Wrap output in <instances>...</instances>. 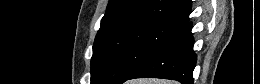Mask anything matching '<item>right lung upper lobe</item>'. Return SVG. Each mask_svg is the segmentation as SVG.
<instances>
[{
	"label": "right lung upper lobe",
	"instance_id": "obj_1",
	"mask_svg": "<svg viewBox=\"0 0 260 84\" xmlns=\"http://www.w3.org/2000/svg\"><path fill=\"white\" fill-rule=\"evenodd\" d=\"M190 0H110L96 40L136 24L180 27L189 20Z\"/></svg>",
	"mask_w": 260,
	"mask_h": 84
}]
</instances>
